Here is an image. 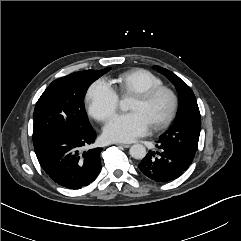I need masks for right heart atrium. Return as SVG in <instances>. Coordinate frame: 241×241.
I'll return each mask as SVG.
<instances>
[{"mask_svg":"<svg viewBox=\"0 0 241 241\" xmlns=\"http://www.w3.org/2000/svg\"><path fill=\"white\" fill-rule=\"evenodd\" d=\"M86 98L90 115L98 121L110 118L119 106L117 91L105 79L94 81L87 91Z\"/></svg>","mask_w":241,"mask_h":241,"instance_id":"1","label":"right heart atrium"}]
</instances>
